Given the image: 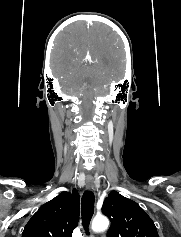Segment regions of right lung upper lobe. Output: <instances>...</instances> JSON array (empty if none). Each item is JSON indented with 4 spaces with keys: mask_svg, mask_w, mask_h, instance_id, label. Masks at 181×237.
I'll list each match as a JSON object with an SVG mask.
<instances>
[{
    "mask_svg": "<svg viewBox=\"0 0 181 237\" xmlns=\"http://www.w3.org/2000/svg\"><path fill=\"white\" fill-rule=\"evenodd\" d=\"M80 215L76 189L43 204L26 224L22 237H72Z\"/></svg>",
    "mask_w": 181,
    "mask_h": 237,
    "instance_id": "cb5924a9",
    "label": "right lung upper lobe"
}]
</instances>
